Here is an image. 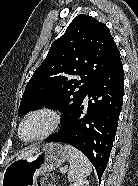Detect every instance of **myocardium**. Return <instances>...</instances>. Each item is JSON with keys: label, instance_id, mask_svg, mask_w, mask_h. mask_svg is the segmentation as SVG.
<instances>
[{"label": "myocardium", "instance_id": "1", "mask_svg": "<svg viewBox=\"0 0 138 186\" xmlns=\"http://www.w3.org/2000/svg\"><path fill=\"white\" fill-rule=\"evenodd\" d=\"M38 114H46L50 117L51 124H50L49 128L46 129L44 132H42V133H40V134H38L34 137L24 139L22 137V134H21L22 133V128L24 127L26 122L31 117H33L35 115H38ZM61 120H62L61 114L53 108H50V107L35 108V109L29 111L28 113H26L24 115V117L22 118V120L19 124L18 130H17L18 137L22 142H25V143H31V142H35V141H38V140L45 139V138L49 137L50 135H52L54 132H56L58 130V128L60 127V124H61Z\"/></svg>", "mask_w": 138, "mask_h": 186}]
</instances>
